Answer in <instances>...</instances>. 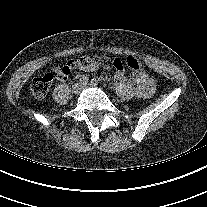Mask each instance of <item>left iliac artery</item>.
I'll return each instance as SVG.
<instances>
[{"instance_id":"obj_1","label":"left iliac artery","mask_w":207,"mask_h":207,"mask_svg":"<svg viewBox=\"0 0 207 207\" xmlns=\"http://www.w3.org/2000/svg\"><path fill=\"white\" fill-rule=\"evenodd\" d=\"M98 83L99 82H98V80L96 78H94V79L91 80V84L92 85H98Z\"/></svg>"}]
</instances>
